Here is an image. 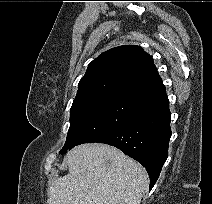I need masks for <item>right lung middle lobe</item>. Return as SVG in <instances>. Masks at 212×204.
Returning <instances> with one entry per match:
<instances>
[{"instance_id":"1","label":"right lung middle lobe","mask_w":212,"mask_h":204,"mask_svg":"<svg viewBox=\"0 0 212 204\" xmlns=\"http://www.w3.org/2000/svg\"><path fill=\"white\" fill-rule=\"evenodd\" d=\"M143 104L121 98H100L71 107L67 150L82 143H93L127 122Z\"/></svg>"}]
</instances>
